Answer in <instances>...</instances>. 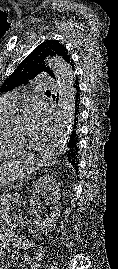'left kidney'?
Masks as SVG:
<instances>
[{"mask_svg":"<svg viewBox=\"0 0 118 269\" xmlns=\"http://www.w3.org/2000/svg\"><path fill=\"white\" fill-rule=\"evenodd\" d=\"M41 190L49 193V198L51 200L52 208H51V216L50 218H42L37 212V200L36 194L39 193ZM60 188L59 183L56 182L51 176H43L41 177L33 189V196L30 200V215L33 217L34 223L38 227L39 230L42 232L48 233L51 232L57 222V219L60 215Z\"/></svg>","mask_w":118,"mask_h":269,"instance_id":"5707ae66","label":"left kidney"}]
</instances>
